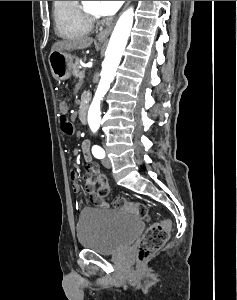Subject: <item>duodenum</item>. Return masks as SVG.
Segmentation results:
<instances>
[{
	"label": "duodenum",
	"instance_id": "1",
	"mask_svg": "<svg viewBox=\"0 0 237 300\" xmlns=\"http://www.w3.org/2000/svg\"><path fill=\"white\" fill-rule=\"evenodd\" d=\"M79 119L82 124H86L87 122V107L85 103H81L79 106Z\"/></svg>",
	"mask_w": 237,
	"mask_h": 300
}]
</instances>
